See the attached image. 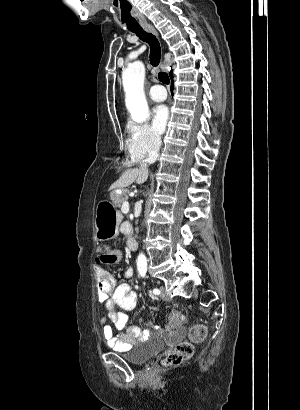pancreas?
I'll use <instances>...</instances> for the list:
<instances>
[{
	"label": "pancreas",
	"mask_w": 300,
	"mask_h": 410,
	"mask_svg": "<svg viewBox=\"0 0 300 410\" xmlns=\"http://www.w3.org/2000/svg\"><path fill=\"white\" fill-rule=\"evenodd\" d=\"M118 207H121L124 201H127V197L123 194H117L114 199H112Z\"/></svg>",
	"instance_id": "cf45deb5"
}]
</instances>
